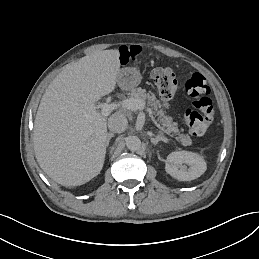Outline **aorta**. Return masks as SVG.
Listing matches in <instances>:
<instances>
[{"instance_id":"obj_1","label":"aorta","mask_w":259,"mask_h":259,"mask_svg":"<svg viewBox=\"0 0 259 259\" xmlns=\"http://www.w3.org/2000/svg\"><path fill=\"white\" fill-rule=\"evenodd\" d=\"M141 140L137 136H129L126 139V146L131 151H137L141 148Z\"/></svg>"}]
</instances>
